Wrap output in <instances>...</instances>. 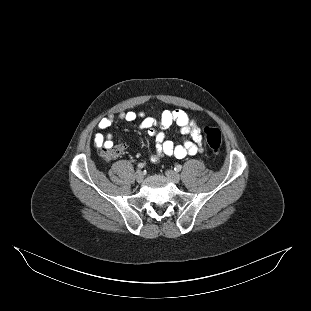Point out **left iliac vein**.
<instances>
[{"label": "left iliac vein", "instance_id": "obj_1", "mask_svg": "<svg viewBox=\"0 0 311 311\" xmlns=\"http://www.w3.org/2000/svg\"><path fill=\"white\" fill-rule=\"evenodd\" d=\"M165 174L168 177V179L173 183L177 184L180 182V175L174 172L173 170H167Z\"/></svg>", "mask_w": 311, "mask_h": 311}]
</instances>
